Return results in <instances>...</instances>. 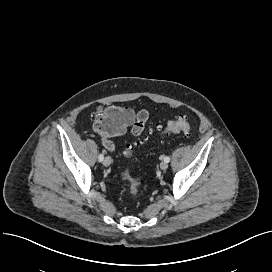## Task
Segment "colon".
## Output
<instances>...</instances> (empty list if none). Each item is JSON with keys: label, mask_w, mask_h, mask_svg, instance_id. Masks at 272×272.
Returning <instances> with one entry per match:
<instances>
[{"label": "colon", "mask_w": 272, "mask_h": 272, "mask_svg": "<svg viewBox=\"0 0 272 272\" xmlns=\"http://www.w3.org/2000/svg\"><path fill=\"white\" fill-rule=\"evenodd\" d=\"M131 120V114L127 110L119 107H109L105 109L94 121L93 128L95 132L102 136H113L122 134ZM145 120L142 116H139L134 122L131 128L133 136H140L144 130ZM192 131V124L188 119L183 116H177L173 120L169 121L166 126H159L157 132L162 135L169 133H185L190 134ZM134 148L133 146H127L123 152V155L127 159L133 157ZM122 178L129 184V194L135 196L138 194L141 179L138 177H132L128 171H124Z\"/></svg>", "instance_id": "obj_1"}]
</instances>
